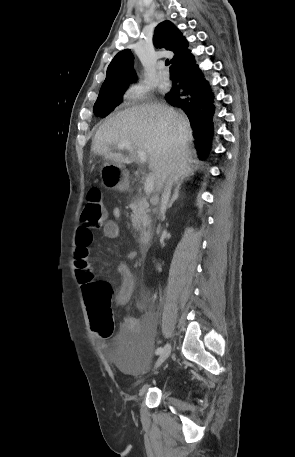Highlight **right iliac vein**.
<instances>
[{"label": "right iliac vein", "instance_id": "63e3f726", "mask_svg": "<svg viewBox=\"0 0 295 457\" xmlns=\"http://www.w3.org/2000/svg\"><path fill=\"white\" fill-rule=\"evenodd\" d=\"M171 345L168 343L164 346L162 352L159 354V357L155 363L154 369H157L170 355Z\"/></svg>", "mask_w": 295, "mask_h": 457}]
</instances>
